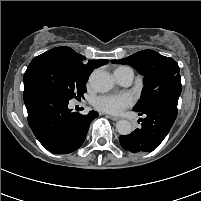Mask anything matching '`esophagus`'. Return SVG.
<instances>
[{
    "mask_svg": "<svg viewBox=\"0 0 201 201\" xmlns=\"http://www.w3.org/2000/svg\"><path fill=\"white\" fill-rule=\"evenodd\" d=\"M108 118H110L113 121H118L120 118L117 116H112V115H106Z\"/></svg>",
    "mask_w": 201,
    "mask_h": 201,
    "instance_id": "obj_1",
    "label": "esophagus"
}]
</instances>
